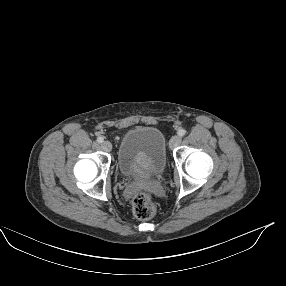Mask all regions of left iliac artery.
<instances>
[{
    "label": "left iliac artery",
    "mask_w": 286,
    "mask_h": 286,
    "mask_svg": "<svg viewBox=\"0 0 286 286\" xmlns=\"http://www.w3.org/2000/svg\"><path fill=\"white\" fill-rule=\"evenodd\" d=\"M178 134H179V136L183 137L186 134V130L180 129Z\"/></svg>",
    "instance_id": "44dca946"
}]
</instances>
